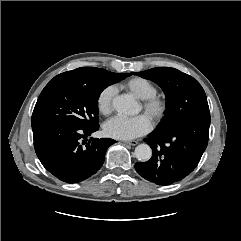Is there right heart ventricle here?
Returning a JSON list of instances; mask_svg holds the SVG:
<instances>
[{
  "mask_svg": "<svg viewBox=\"0 0 241 241\" xmlns=\"http://www.w3.org/2000/svg\"><path fill=\"white\" fill-rule=\"evenodd\" d=\"M127 90L139 99H147L156 95V86L146 78L134 77L123 85Z\"/></svg>",
  "mask_w": 241,
  "mask_h": 241,
  "instance_id": "e07e8e85",
  "label": "right heart ventricle"
}]
</instances>
